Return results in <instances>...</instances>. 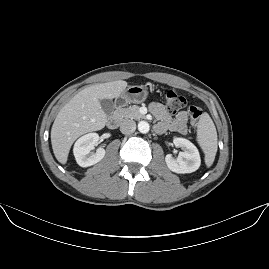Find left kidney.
Segmentation results:
<instances>
[{
	"instance_id": "obj_1",
	"label": "left kidney",
	"mask_w": 269,
	"mask_h": 269,
	"mask_svg": "<svg viewBox=\"0 0 269 269\" xmlns=\"http://www.w3.org/2000/svg\"><path fill=\"white\" fill-rule=\"evenodd\" d=\"M173 143L176 147L183 149L177 159L171 154H167L165 162L168 168L175 173H192L201 164L200 154L197 147L189 140L184 138H174Z\"/></svg>"
}]
</instances>
